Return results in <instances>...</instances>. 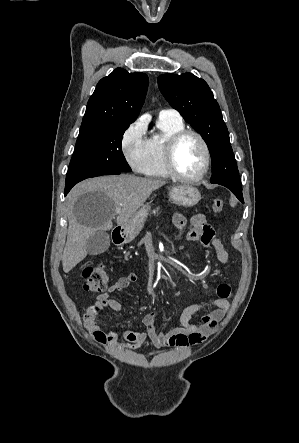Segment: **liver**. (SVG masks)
I'll return each mask as SVG.
<instances>
[{"label":"liver","instance_id":"1","mask_svg":"<svg viewBox=\"0 0 299 443\" xmlns=\"http://www.w3.org/2000/svg\"><path fill=\"white\" fill-rule=\"evenodd\" d=\"M165 184L163 180L121 174L93 178L76 185L67 202L69 226L62 258L64 272L68 273L87 256L89 237L97 231L111 230L116 215L117 224H125L152 192Z\"/></svg>","mask_w":299,"mask_h":443}]
</instances>
